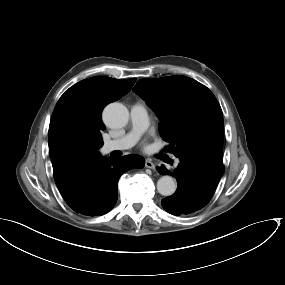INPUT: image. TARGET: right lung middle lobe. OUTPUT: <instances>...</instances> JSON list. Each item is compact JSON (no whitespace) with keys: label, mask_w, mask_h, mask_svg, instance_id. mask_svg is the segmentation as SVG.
Here are the masks:
<instances>
[{"label":"right lung middle lobe","mask_w":285,"mask_h":285,"mask_svg":"<svg viewBox=\"0 0 285 285\" xmlns=\"http://www.w3.org/2000/svg\"><path fill=\"white\" fill-rule=\"evenodd\" d=\"M104 129L100 121L87 119L77 111H64L52 117L48 138L67 158L90 162L100 157L98 149L104 144Z\"/></svg>","instance_id":"obj_1"}]
</instances>
